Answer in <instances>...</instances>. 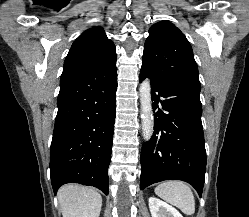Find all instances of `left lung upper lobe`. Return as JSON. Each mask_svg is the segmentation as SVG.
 I'll return each mask as SVG.
<instances>
[{
	"label": "left lung upper lobe",
	"instance_id": "1",
	"mask_svg": "<svg viewBox=\"0 0 249 217\" xmlns=\"http://www.w3.org/2000/svg\"><path fill=\"white\" fill-rule=\"evenodd\" d=\"M141 69L154 80L183 85L200 92L198 67L192 47L171 22L161 21L149 29Z\"/></svg>",
	"mask_w": 249,
	"mask_h": 217
}]
</instances>
